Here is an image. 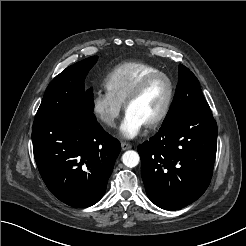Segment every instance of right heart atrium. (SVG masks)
Masks as SVG:
<instances>
[{
    "label": "right heart atrium",
    "mask_w": 246,
    "mask_h": 246,
    "mask_svg": "<svg viewBox=\"0 0 246 246\" xmlns=\"http://www.w3.org/2000/svg\"><path fill=\"white\" fill-rule=\"evenodd\" d=\"M122 104L114 99L107 91H97L91 100V110L95 118L105 125L112 128L121 113Z\"/></svg>",
    "instance_id": "obj_1"
}]
</instances>
